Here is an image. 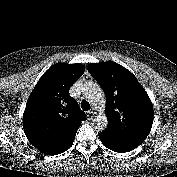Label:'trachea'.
I'll return each mask as SVG.
<instances>
[{"instance_id":"1","label":"trachea","mask_w":177,"mask_h":177,"mask_svg":"<svg viewBox=\"0 0 177 177\" xmlns=\"http://www.w3.org/2000/svg\"><path fill=\"white\" fill-rule=\"evenodd\" d=\"M81 108L85 111L90 109V104L86 100H82L81 102Z\"/></svg>"}]
</instances>
